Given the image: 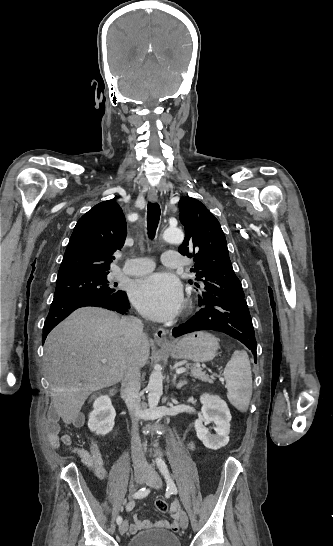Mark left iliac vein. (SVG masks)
<instances>
[{"mask_svg":"<svg viewBox=\"0 0 333 546\" xmlns=\"http://www.w3.org/2000/svg\"><path fill=\"white\" fill-rule=\"evenodd\" d=\"M145 483L148 486L152 488H156V489H159L162 486V480L160 476L158 475V473L153 468L149 469ZM188 524H189L188 516L186 512L182 510L180 513V526L183 530H185L187 529Z\"/></svg>","mask_w":333,"mask_h":546,"instance_id":"left-iliac-vein-1","label":"left iliac vein"}]
</instances>
